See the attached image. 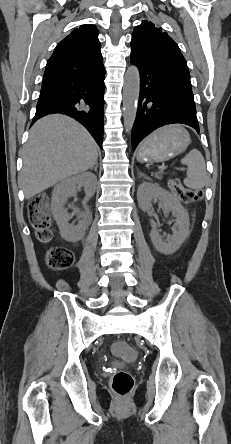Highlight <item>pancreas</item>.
<instances>
[{
	"label": "pancreas",
	"mask_w": 231,
	"mask_h": 444,
	"mask_svg": "<svg viewBox=\"0 0 231 444\" xmlns=\"http://www.w3.org/2000/svg\"><path fill=\"white\" fill-rule=\"evenodd\" d=\"M155 177L158 178V179L161 178L160 173L155 174Z\"/></svg>",
	"instance_id": "cf45deb5"
}]
</instances>
